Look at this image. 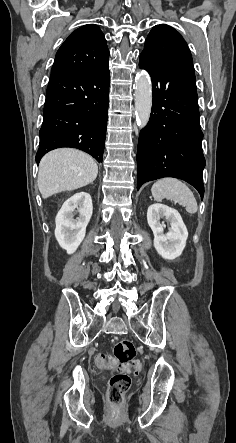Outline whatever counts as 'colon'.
Masks as SVG:
<instances>
[{
    "instance_id": "5ec220e1",
    "label": "colon",
    "mask_w": 236,
    "mask_h": 443,
    "mask_svg": "<svg viewBox=\"0 0 236 443\" xmlns=\"http://www.w3.org/2000/svg\"><path fill=\"white\" fill-rule=\"evenodd\" d=\"M136 349L132 341L121 339L113 348V356L106 357L104 354L96 356V365L103 369H125L127 371L140 372L142 365L135 360ZM131 379L124 372L114 374L108 383V399L111 404L121 403L124 394L129 390Z\"/></svg>"
}]
</instances>
